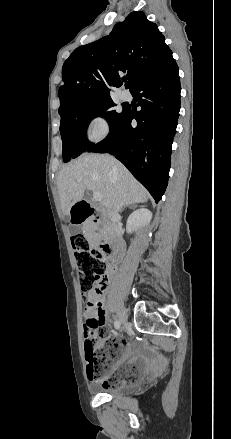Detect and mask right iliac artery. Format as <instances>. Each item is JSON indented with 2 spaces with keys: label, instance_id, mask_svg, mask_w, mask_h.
I'll use <instances>...</instances> for the list:
<instances>
[{
  "label": "right iliac artery",
  "instance_id": "obj_1",
  "mask_svg": "<svg viewBox=\"0 0 231 439\" xmlns=\"http://www.w3.org/2000/svg\"><path fill=\"white\" fill-rule=\"evenodd\" d=\"M114 326H115L116 329H119L120 328V322L119 321H115L114 322Z\"/></svg>",
  "mask_w": 231,
  "mask_h": 439
}]
</instances>
